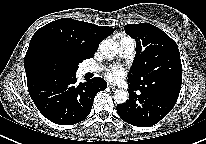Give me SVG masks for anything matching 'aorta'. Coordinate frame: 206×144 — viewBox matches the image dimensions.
I'll return each mask as SVG.
<instances>
[{
    "label": "aorta",
    "instance_id": "aorta-1",
    "mask_svg": "<svg viewBox=\"0 0 206 144\" xmlns=\"http://www.w3.org/2000/svg\"><path fill=\"white\" fill-rule=\"evenodd\" d=\"M99 49L106 58H114L118 54V46L112 39L103 40ZM128 100V92L125 90H116L114 92V101L117 104H124Z\"/></svg>",
    "mask_w": 206,
    "mask_h": 144
}]
</instances>
